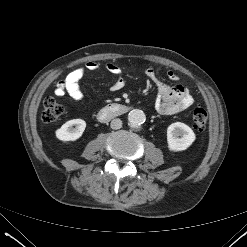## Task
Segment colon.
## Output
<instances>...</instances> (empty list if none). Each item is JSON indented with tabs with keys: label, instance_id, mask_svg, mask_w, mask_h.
Listing matches in <instances>:
<instances>
[{
	"label": "colon",
	"instance_id": "obj_1",
	"mask_svg": "<svg viewBox=\"0 0 247 247\" xmlns=\"http://www.w3.org/2000/svg\"><path fill=\"white\" fill-rule=\"evenodd\" d=\"M63 113V107L52 97L43 102L42 120L46 123L56 121ZM208 122V113L204 108L197 107L192 113V123L195 129L203 130Z\"/></svg>",
	"mask_w": 247,
	"mask_h": 247
}]
</instances>
